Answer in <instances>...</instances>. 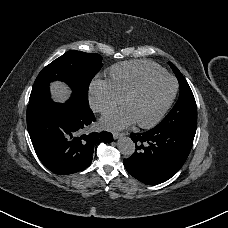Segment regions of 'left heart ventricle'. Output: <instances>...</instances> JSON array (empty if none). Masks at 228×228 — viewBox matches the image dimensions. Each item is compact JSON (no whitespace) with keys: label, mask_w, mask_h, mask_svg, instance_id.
I'll use <instances>...</instances> for the list:
<instances>
[{"label":"left heart ventricle","mask_w":228,"mask_h":228,"mask_svg":"<svg viewBox=\"0 0 228 228\" xmlns=\"http://www.w3.org/2000/svg\"><path fill=\"white\" fill-rule=\"evenodd\" d=\"M172 82L167 78H161L153 83L142 93L127 103L138 122L147 123L151 121L160 111L169 97Z\"/></svg>","instance_id":"1"}]
</instances>
